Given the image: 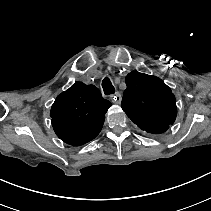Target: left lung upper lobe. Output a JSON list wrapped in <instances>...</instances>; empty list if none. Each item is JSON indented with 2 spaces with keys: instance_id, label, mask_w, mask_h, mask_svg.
Wrapping results in <instances>:
<instances>
[{
  "instance_id": "5c2ea615",
  "label": "left lung upper lobe",
  "mask_w": 211,
  "mask_h": 211,
  "mask_svg": "<svg viewBox=\"0 0 211 211\" xmlns=\"http://www.w3.org/2000/svg\"><path fill=\"white\" fill-rule=\"evenodd\" d=\"M121 107L142 130L160 134L168 130L177 115L172 90L158 77L133 71L126 76Z\"/></svg>"
}]
</instances>
